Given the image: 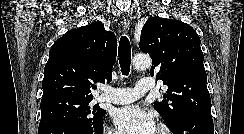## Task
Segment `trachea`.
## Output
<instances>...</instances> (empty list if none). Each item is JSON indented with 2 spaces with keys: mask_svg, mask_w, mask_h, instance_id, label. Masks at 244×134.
I'll return each mask as SVG.
<instances>
[{
  "mask_svg": "<svg viewBox=\"0 0 244 134\" xmlns=\"http://www.w3.org/2000/svg\"><path fill=\"white\" fill-rule=\"evenodd\" d=\"M118 58L121 72L124 76H127L130 72L131 65V46L129 39L126 36H122L120 39Z\"/></svg>",
  "mask_w": 244,
  "mask_h": 134,
  "instance_id": "1",
  "label": "trachea"
}]
</instances>
